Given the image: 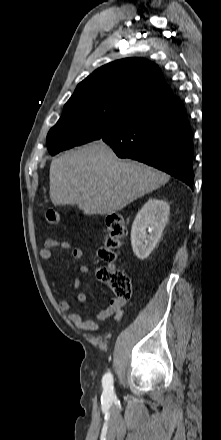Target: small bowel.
<instances>
[{
  "label": "small bowel",
  "mask_w": 221,
  "mask_h": 440,
  "mask_svg": "<svg viewBox=\"0 0 221 440\" xmlns=\"http://www.w3.org/2000/svg\"><path fill=\"white\" fill-rule=\"evenodd\" d=\"M56 248L61 251L70 250L71 256L74 260H81L83 257V252L80 248H72L69 242L65 240H55V239H47L44 242V246L39 250V256L41 259L45 261H49L52 259V249ZM79 271L81 274H87L89 272V268L86 265H81L79 267ZM75 288H79L82 285V279L77 277L73 283ZM87 300V296L84 292H80L76 296V301L79 304H85ZM125 304V299H119L117 297L112 298L107 307L101 311H99L95 315V319H86L79 312H70L71 305L67 301L59 302V309L63 312H70V319L81 329L88 332H96L100 329L97 321L105 320L106 318L113 316L114 321H119L122 315V308Z\"/></svg>",
  "instance_id": "c3829d8e"
}]
</instances>
